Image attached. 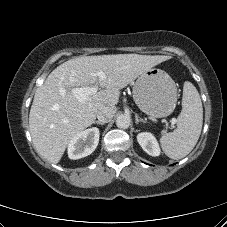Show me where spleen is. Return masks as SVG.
Returning a JSON list of instances; mask_svg holds the SVG:
<instances>
[{
	"label": "spleen",
	"mask_w": 227,
	"mask_h": 227,
	"mask_svg": "<svg viewBox=\"0 0 227 227\" xmlns=\"http://www.w3.org/2000/svg\"><path fill=\"white\" fill-rule=\"evenodd\" d=\"M203 108L196 87L186 81L183 86L182 110L173 132L164 134L160 143L164 153L178 160L188 155L195 147L202 129Z\"/></svg>",
	"instance_id": "1"
}]
</instances>
